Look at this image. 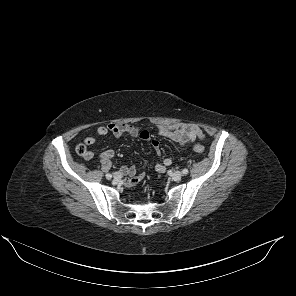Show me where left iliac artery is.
Returning a JSON list of instances; mask_svg holds the SVG:
<instances>
[{"label":"left iliac artery","instance_id":"left-iliac-artery-1","mask_svg":"<svg viewBox=\"0 0 296 296\" xmlns=\"http://www.w3.org/2000/svg\"><path fill=\"white\" fill-rule=\"evenodd\" d=\"M182 173H183L184 175L188 174V169H186V168L183 169V170H182Z\"/></svg>","mask_w":296,"mask_h":296}]
</instances>
